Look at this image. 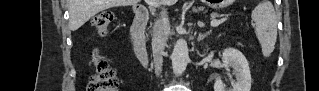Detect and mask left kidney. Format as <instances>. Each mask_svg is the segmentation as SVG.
<instances>
[{
  "label": "left kidney",
  "instance_id": "left-kidney-1",
  "mask_svg": "<svg viewBox=\"0 0 319 91\" xmlns=\"http://www.w3.org/2000/svg\"><path fill=\"white\" fill-rule=\"evenodd\" d=\"M224 67L228 70L232 67L236 74V81H232V88L227 89L221 78H217L214 84V91H250L251 74L247 59L237 49L227 48L222 53Z\"/></svg>",
  "mask_w": 319,
  "mask_h": 91
}]
</instances>
